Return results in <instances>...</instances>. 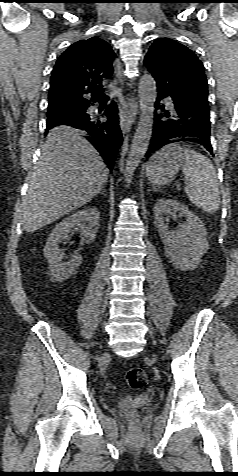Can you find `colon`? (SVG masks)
I'll use <instances>...</instances> for the list:
<instances>
[{"instance_id": "colon-1", "label": "colon", "mask_w": 238, "mask_h": 476, "mask_svg": "<svg viewBox=\"0 0 238 476\" xmlns=\"http://www.w3.org/2000/svg\"><path fill=\"white\" fill-rule=\"evenodd\" d=\"M124 381L132 389H140L147 383V374L140 367H132L125 372Z\"/></svg>"}]
</instances>
